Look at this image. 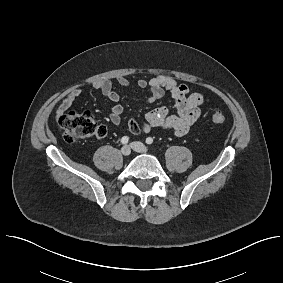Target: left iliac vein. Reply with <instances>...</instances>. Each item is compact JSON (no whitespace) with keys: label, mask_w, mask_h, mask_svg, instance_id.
<instances>
[{"label":"left iliac vein","mask_w":283,"mask_h":283,"mask_svg":"<svg viewBox=\"0 0 283 283\" xmlns=\"http://www.w3.org/2000/svg\"><path fill=\"white\" fill-rule=\"evenodd\" d=\"M131 147L134 151L139 153H146L147 147L141 142H132Z\"/></svg>","instance_id":"1"}]
</instances>
